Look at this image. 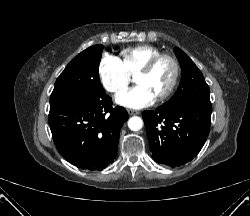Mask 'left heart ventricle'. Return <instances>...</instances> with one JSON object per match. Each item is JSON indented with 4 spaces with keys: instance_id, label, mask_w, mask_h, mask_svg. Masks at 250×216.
<instances>
[{
    "instance_id": "b2bd125f",
    "label": "left heart ventricle",
    "mask_w": 250,
    "mask_h": 216,
    "mask_svg": "<svg viewBox=\"0 0 250 216\" xmlns=\"http://www.w3.org/2000/svg\"><path fill=\"white\" fill-rule=\"evenodd\" d=\"M171 77V63L167 60H162L149 74L136 77V82L146 86L156 97L167 88Z\"/></svg>"
}]
</instances>
